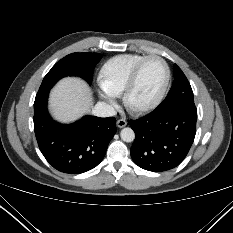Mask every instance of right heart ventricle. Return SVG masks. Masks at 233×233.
<instances>
[{"label": "right heart ventricle", "instance_id": "e07e8e85", "mask_svg": "<svg viewBox=\"0 0 233 233\" xmlns=\"http://www.w3.org/2000/svg\"><path fill=\"white\" fill-rule=\"evenodd\" d=\"M143 57L142 54H121L107 60L98 75L100 87L115 96L123 93L133 68Z\"/></svg>", "mask_w": 233, "mask_h": 233}]
</instances>
